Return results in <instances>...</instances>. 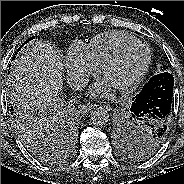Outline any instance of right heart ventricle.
Wrapping results in <instances>:
<instances>
[{
  "label": "right heart ventricle",
  "mask_w": 184,
  "mask_h": 184,
  "mask_svg": "<svg viewBox=\"0 0 184 184\" xmlns=\"http://www.w3.org/2000/svg\"><path fill=\"white\" fill-rule=\"evenodd\" d=\"M135 40L138 39L125 32L109 31L93 38L86 47L92 60L99 66L119 47Z\"/></svg>",
  "instance_id": "obj_1"
}]
</instances>
